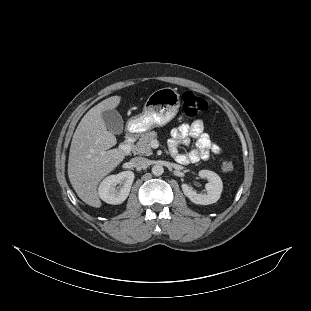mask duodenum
I'll list each match as a JSON object with an SVG mask.
<instances>
[{
  "label": "duodenum",
  "mask_w": 311,
  "mask_h": 311,
  "mask_svg": "<svg viewBox=\"0 0 311 311\" xmlns=\"http://www.w3.org/2000/svg\"><path fill=\"white\" fill-rule=\"evenodd\" d=\"M134 139L135 136L133 133H127L124 141L120 144V149L123 153H129L131 151Z\"/></svg>",
  "instance_id": "obj_1"
}]
</instances>
